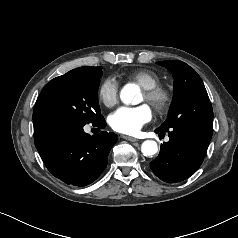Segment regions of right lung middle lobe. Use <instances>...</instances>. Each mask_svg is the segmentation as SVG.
Here are the masks:
<instances>
[{
    "mask_svg": "<svg viewBox=\"0 0 238 238\" xmlns=\"http://www.w3.org/2000/svg\"><path fill=\"white\" fill-rule=\"evenodd\" d=\"M101 67H79L48 82L39 97L40 115L46 121L68 120L82 124L103 119L98 103Z\"/></svg>",
    "mask_w": 238,
    "mask_h": 238,
    "instance_id": "obj_1",
    "label": "right lung middle lobe"
}]
</instances>
